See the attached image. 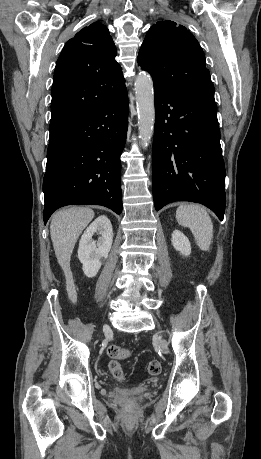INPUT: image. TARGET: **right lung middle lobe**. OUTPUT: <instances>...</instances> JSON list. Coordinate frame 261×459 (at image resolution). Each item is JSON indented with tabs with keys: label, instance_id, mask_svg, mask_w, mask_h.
I'll return each instance as SVG.
<instances>
[{
	"label": "right lung middle lobe",
	"instance_id": "right-lung-middle-lobe-1",
	"mask_svg": "<svg viewBox=\"0 0 261 459\" xmlns=\"http://www.w3.org/2000/svg\"><path fill=\"white\" fill-rule=\"evenodd\" d=\"M68 125H55L50 126V138L56 136L60 133L63 129H65Z\"/></svg>",
	"mask_w": 261,
	"mask_h": 459
}]
</instances>
